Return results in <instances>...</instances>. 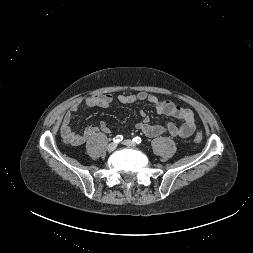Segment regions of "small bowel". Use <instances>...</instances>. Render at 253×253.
Returning <instances> with one entry per match:
<instances>
[{
  "instance_id": "small-bowel-1",
  "label": "small bowel",
  "mask_w": 253,
  "mask_h": 253,
  "mask_svg": "<svg viewBox=\"0 0 253 253\" xmlns=\"http://www.w3.org/2000/svg\"><path fill=\"white\" fill-rule=\"evenodd\" d=\"M114 98L110 94H96L87 97L83 100H76L72 103L70 110L63 117L60 133L64 142L70 146L77 147L83 145L89 137L95 134L98 130L108 133L109 127L105 122L100 126L89 125L82 133H76L71 127L73 115L85 108L109 107ZM118 101L122 104H132L139 101H148L152 104L158 114L166 115L176 119H180L183 123L177 126L173 122L166 125L150 124L149 118L145 111L141 110L140 115L142 121L137 124V128L148 137H157L163 134H169L173 137L187 138L195 131V118L190 109L180 107L169 100H161L158 97L139 92L137 94H121L118 96Z\"/></svg>"
}]
</instances>
